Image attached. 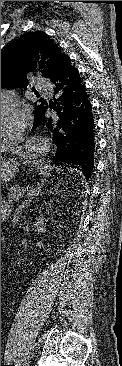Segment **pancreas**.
Listing matches in <instances>:
<instances>
[{"instance_id": "pancreas-1", "label": "pancreas", "mask_w": 122, "mask_h": 366, "mask_svg": "<svg viewBox=\"0 0 122 366\" xmlns=\"http://www.w3.org/2000/svg\"><path fill=\"white\" fill-rule=\"evenodd\" d=\"M19 192L17 191V190H15V189H12V190H10L9 192H8V199H15L16 198V196H19V194H18Z\"/></svg>"}]
</instances>
